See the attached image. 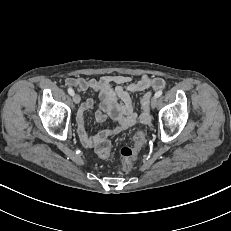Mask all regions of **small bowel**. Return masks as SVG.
Instances as JSON below:
<instances>
[{"instance_id":"1","label":"small bowel","mask_w":231,"mask_h":231,"mask_svg":"<svg viewBox=\"0 0 231 231\" xmlns=\"http://www.w3.org/2000/svg\"><path fill=\"white\" fill-rule=\"evenodd\" d=\"M67 85L75 87L79 91L92 89L99 93V109L96 113V120L103 122L107 117L116 122L111 130H104L96 135H89L85 127L84 114L93 105V99H86L79 108L76 121L78 135L83 146L87 148L96 147L102 140L112 134H118L127 128L137 124H146L149 120V89H163L165 81L160 77L142 75L134 79L127 75L103 76L99 79H85L82 77H69L65 80ZM140 92L141 112L134 111L135 103L131 93Z\"/></svg>"}]
</instances>
